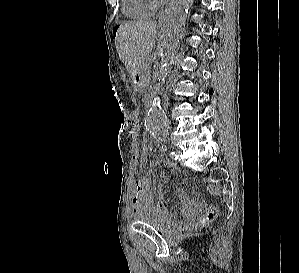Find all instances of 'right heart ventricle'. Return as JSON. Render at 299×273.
Listing matches in <instances>:
<instances>
[{
	"label": "right heart ventricle",
	"instance_id": "1",
	"mask_svg": "<svg viewBox=\"0 0 299 273\" xmlns=\"http://www.w3.org/2000/svg\"><path fill=\"white\" fill-rule=\"evenodd\" d=\"M123 14L134 20H143L152 17L155 8L150 0H122Z\"/></svg>",
	"mask_w": 299,
	"mask_h": 273
}]
</instances>
